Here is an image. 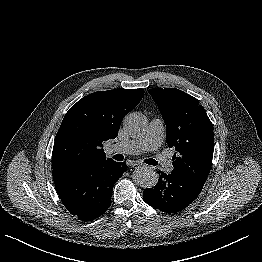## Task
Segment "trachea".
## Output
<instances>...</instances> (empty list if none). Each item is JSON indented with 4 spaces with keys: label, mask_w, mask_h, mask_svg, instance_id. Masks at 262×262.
Instances as JSON below:
<instances>
[{
    "label": "trachea",
    "mask_w": 262,
    "mask_h": 262,
    "mask_svg": "<svg viewBox=\"0 0 262 262\" xmlns=\"http://www.w3.org/2000/svg\"><path fill=\"white\" fill-rule=\"evenodd\" d=\"M113 158H114L115 160H117V161H122V160L124 159V157H123L122 154H116ZM144 162H145L146 164L154 165V166L158 164L156 160L151 159V158L145 159Z\"/></svg>",
    "instance_id": "trachea-1"
}]
</instances>
